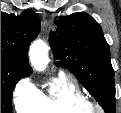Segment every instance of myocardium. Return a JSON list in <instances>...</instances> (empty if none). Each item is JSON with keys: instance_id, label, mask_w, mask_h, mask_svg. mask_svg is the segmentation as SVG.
<instances>
[{"instance_id": "obj_1", "label": "myocardium", "mask_w": 121, "mask_h": 113, "mask_svg": "<svg viewBox=\"0 0 121 113\" xmlns=\"http://www.w3.org/2000/svg\"><path fill=\"white\" fill-rule=\"evenodd\" d=\"M82 110L86 113H104V108L98 102H87Z\"/></svg>"}]
</instances>
